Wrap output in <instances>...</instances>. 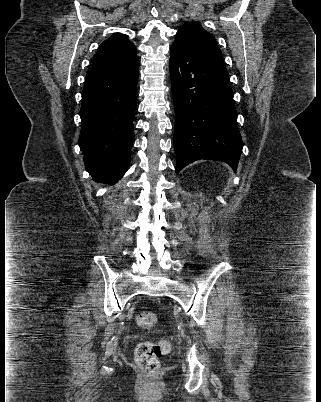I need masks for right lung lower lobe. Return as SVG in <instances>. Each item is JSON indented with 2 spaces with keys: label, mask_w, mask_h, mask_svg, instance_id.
I'll return each instance as SVG.
<instances>
[{
  "label": "right lung lower lobe",
  "mask_w": 321,
  "mask_h": 402,
  "mask_svg": "<svg viewBox=\"0 0 321 402\" xmlns=\"http://www.w3.org/2000/svg\"><path fill=\"white\" fill-rule=\"evenodd\" d=\"M138 66L90 70L86 76L79 146L94 181L114 184L130 164Z\"/></svg>",
  "instance_id": "1"
}]
</instances>
